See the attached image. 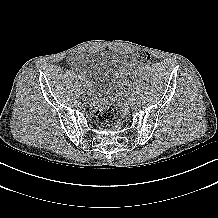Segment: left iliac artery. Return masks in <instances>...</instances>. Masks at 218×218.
<instances>
[{"mask_svg": "<svg viewBox=\"0 0 218 218\" xmlns=\"http://www.w3.org/2000/svg\"><path fill=\"white\" fill-rule=\"evenodd\" d=\"M130 97L132 96H134V95H136L135 93H132V92H130L129 94H128Z\"/></svg>", "mask_w": 218, "mask_h": 218, "instance_id": "44dca946", "label": "left iliac artery"}]
</instances>
